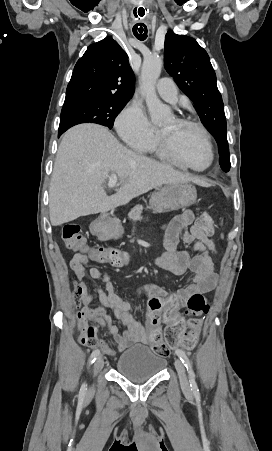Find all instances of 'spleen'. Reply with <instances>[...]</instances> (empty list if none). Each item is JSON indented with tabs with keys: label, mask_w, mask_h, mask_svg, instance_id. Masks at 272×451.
<instances>
[{
	"label": "spleen",
	"mask_w": 272,
	"mask_h": 451,
	"mask_svg": "<svg viewBox=\"0 0 272 451\" xmlns=\"http://www.w3.org/2000/svg\"><path fill=\"white\" fill-rule=\"evenodd\" d=\"M221 237H223V233H221Z\"/></svg>",
	"instance_id": "spleen-1"
}]
</instances>
